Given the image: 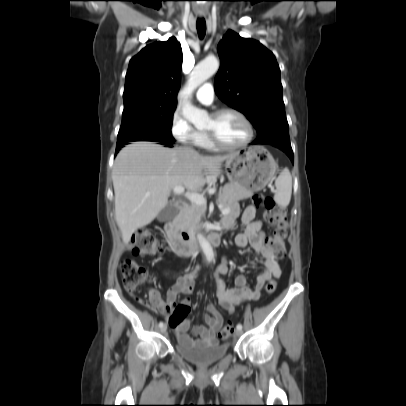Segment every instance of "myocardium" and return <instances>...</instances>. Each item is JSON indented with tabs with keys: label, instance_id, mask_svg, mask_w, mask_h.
<instances>
[{
	"label": "myocardium",
	"instance_id": "1",
	"mask_svg": "<svg viewBox=\"0 0 406 406\" xmlns=\"http://www.w3.org/2000/svg\"><path fill=\"white\" fill-rule=\"evenodd\" d=\"M225 113H233L235 115H237L242 121L243 123L246 125L247 127V136L246 138L238 143V144H234V145H230V144H226L224 142H222L219 137L216 135V133L212 130H205L207 136L209 137V139L211 140V142L218 148L223 149V150H236V149H240L243 148L245 146H247L254 138V127L253 124L251 123V121L249 120V118L239 109L234 108V107H223L220 109H217L216 111H214L211 116L213 118H218L221 115L225 114Z\"/></svg>",
	"mask_w": 406,
	"mask_h": 406
}]
</instances>
